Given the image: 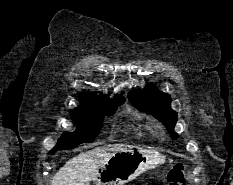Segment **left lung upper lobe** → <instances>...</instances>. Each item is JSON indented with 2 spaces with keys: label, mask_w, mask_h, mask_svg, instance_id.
<instances>
[{
  "label": "left lung upper lobe",
  "mask_w": 233,
  "mask_h": 185,
  "mask_svg": "<svg viewBox=\"0 0 233 185\" xmlns=\"http://www.w3.org/2000/svg\"><path fill=\"white\" fill-rule=\"evenodd\" d=\"M130 102L138 110L152 114L173 132L177 122V113L172 110L171 99L168 94L161 93L151 86L128 95ZM173 136H175L173 132Z\"/></svg>",
  "instance_id": "obj_1"
}]
</instances>
